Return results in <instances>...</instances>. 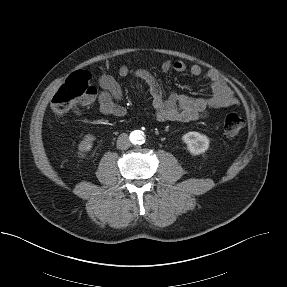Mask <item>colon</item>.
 Wrapping results in <instances>:
<instances>
[{"label": "colon", "mask_w": 287, "mask_h": 287, "mask_svg": "<svg viewBox=\"0 0 287 287\" xmlns=\"http://www.w3.org/2000/svg\"><path fill=\"white\" fill-rule=\"evenodd\" d=\"M97 96V89L87 71L79 70L71 74L59 88L51 101V108L58 116L67 114L78 106L91 104ZM244 127V119L238 113H228L223 119V129L228 135L238 134Z\"/></svg>", "instance_id": "colon-1"}]
</instances>
